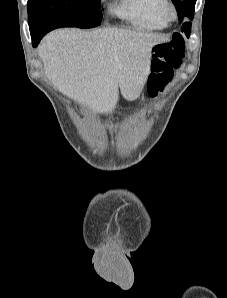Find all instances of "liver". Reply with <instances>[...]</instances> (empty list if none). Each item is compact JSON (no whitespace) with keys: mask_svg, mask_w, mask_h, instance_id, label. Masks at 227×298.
<instances>
[{"mask_svg":"<svg viewBox=\"0 0 227 298\" xmlns=\"http://www.w3.org/2000/svg\"><path fill=\"white\" fill-rule=\"evenodd\" d=\"M169 37L129 29H57L38 48L46 76L93 112H112L122 96L137 99L150 74L151 50Z\"/></svg>","mask_w":227,"mask_h":298,"instance_id":"liver-1","label":"liver"}]
</instances>
